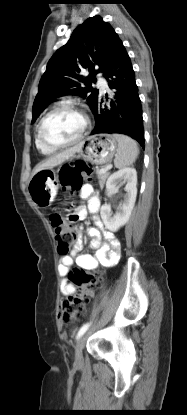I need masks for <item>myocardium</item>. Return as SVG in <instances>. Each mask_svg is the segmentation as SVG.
Returning a JSON list of instances; mask_svg holds the SVG:
<instances>
[{
    "label": "myocardium",
    "mask_w": 187,
    "mask_h": 415,
    "mask_svg": "<svg viewBox=\"0 0 187 415\" xmlns=\"http://www.w3.org/2000/svg\"><path fill=\"white\" fill-rule=\"evenodd\" d=\"M61 108H70V109H74L77 112H79L82 115L83 119H84V125H83V128H82L81 132L79 133V135L76 138H74L71 141L65 142V143L57 144V143H52V142L48 141L44 137L43 128H44V124H45V121L47 120V118L51 114H53L55 111H57ZM89 128H90V119H89V116L87 115V113L81 107H79L77 104H75L71 101H63V102H59V103L55 104L53 107H51V109L49 111H47L46 114L41 118V120L39 122V125H38L37 135H38V138H39V140L41 141V143L43 145H45L48 148L58 150V149H63V148L72 146V145L77 144L78 142H80L84 138L86 133L88 132Z\"/></svg>",
    "instance_id": "1"
}]
</instances>
